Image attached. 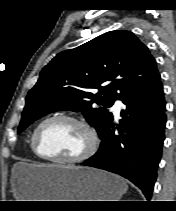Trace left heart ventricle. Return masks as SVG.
<instances>
[{
  "label": "left heart ventricle",
  "instance_id": "obj_1",
  "mask_svg": "<svg viewBox=\"0 0 176 211\" xmlns=\"http://www.w3.org/2000/svg\"><path fill=\"white\" fill-rule=\"evenodd\" d=\"M38 143L43 154L60 158L80 155L88 146L85 130L70 121L55 120L42 127Z\"/></svg>",
  "mask_w": 176,
  "mask_h": 211
}]
</instances>
